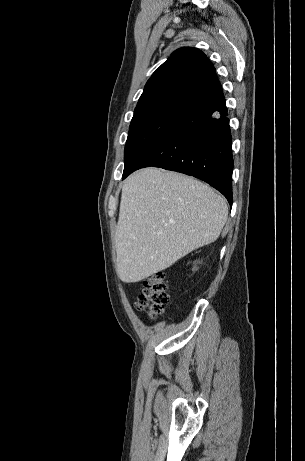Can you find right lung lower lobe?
<instances>
[{
  "mask_svg": "<svg viewBox=\"0 0 305 461\" xmlns=\"http://www.w3.org/2000/svg\"><path fill=\"white\" fill-rule=\"evenodd\" d=\"M232 137L222 89L189 107L167 135L150 148L122 179L133 171L155 166L201 179L232 204Z\"/></svg>",
  "mask_w": 305,
  "mask_h": 461,
  "instance_id": "98d812e1",
  "label": "right lung lower lobe"
}]
</instances>
